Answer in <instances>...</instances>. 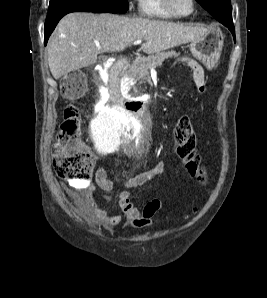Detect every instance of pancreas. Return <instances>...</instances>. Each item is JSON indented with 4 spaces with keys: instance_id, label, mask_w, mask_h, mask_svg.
Instances as JSON below:
<instances>
[{
    "instance_id": "1",
    "label": "pancreas",
    "mask_w": 267,
    "mask_h": 298,
    "mask_svg": "<svg viewBox=\"0 0 267 298\" xmlns=\"http://www.w3.org/2000/svg\"><path fill=\"white\" fill-rule=\"evenodd\" d=\"M178 56L174 51L158 52L154 56L139 57L129 68V76L133 78H147L149 77V70L156 68L162 64V62L169 57Z\"/></svg>"
}]
</instances>
